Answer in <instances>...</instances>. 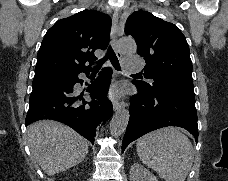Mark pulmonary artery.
Here are the masks:
<instances>
[{
    "instance_id": "1",
    "label": "pulmonary artery",
    "mask_w": 228,
    "mask_h": 181,
    "mask_svg": "<svg viewBox=\"0 0 228 181\" xmlns=\"http://www.w3.org/2000/svg\"><path fill=\"white\" fill-rule=\"evenodd\" d=\"M142 57H124V62H122L123 71H139L140 67L137 66V62H142Z\"/></svg>"
}]
</instances>
